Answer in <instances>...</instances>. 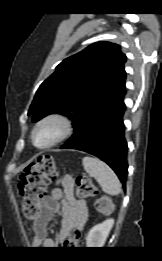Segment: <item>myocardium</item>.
Segmentation results:
<instances>
[{
    "label": "myocardium",
    "instance_id": "1",
    "mask_svg": "<svg viewBox=\"0 0 162 261\" xmlns=\"http://www.w3.org/2000/svg\"><path fill=\"white\" fill-rule=\"evenodd\" d=\"M46 125H54L56 127V133L47 143L37 145L35 142V135L39 129ZM72 131V122L67 116L60 113L48 114L41 118L33 127L31 132V143L35 148L45 150L65 140L71 135Z\"/></svg>",
    "mask_w": 162,
    "mask_h": 261
}]
</instances>
